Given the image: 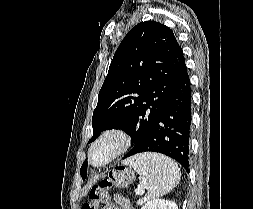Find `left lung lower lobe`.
<instances>
[{
	"instance_id": "left-lung-lower-lobe-1",
	"label": "left lung lower lobe",
	"mask_w": 253,
	"mask_h": 209,
	"mask_svg": "<svg viewBox=\"0 0 253 209\" xmlns=\"http://www.w3.org/2000/svg\"><path fill=\"white\" fill-rule=\"evenodd\" d=\"M191 133V87L186 64L181 69L174 90L143 145L133 154L159 152L178 161L189 172Z\"/></svg>"
}]
</instances>
